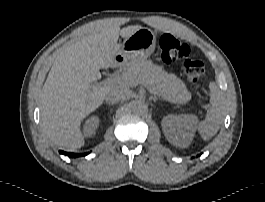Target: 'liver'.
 Listing matches in <instances>:
<instances>
[{
    "instance_id": "liver-1",
    "label": "liver",
    "mask_w": 265,
    "mask_h": 202,
    "mask_svg": "<svg viewBox=\"0 0 265 202\" xmlns=\"http://www.w3.org/2000/svg\"><path fill=\"white\" fill-rule=\"evenodd\" d=\"M141 28L120 29L117 23L97 20L86 26L78 41L57 53L41 93V126L52 142L69 151L85 144L81 122L113 86L92 83L100 79V69L114 65L119 35L126 39Z\"/></svg>"
}]
</instances>
